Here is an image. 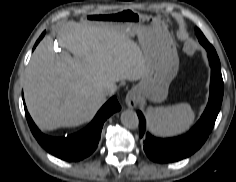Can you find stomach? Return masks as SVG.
Listing matches in <instances>:
<instances>
[{"mask_svg": "<svg viewBox=\"0 0 236 182\" xmlns=\"http://www.w3.org/2000/svg\"><path fill=\"white\" fill-rule=\"evenodd\" d=\"M89 23L103 26L114 35L123 32L129 38L138 35L139 41L146 47V71L132 91L140 100L163 102L179 68L178 53L165 23L157 17L140 14L132 9L113 15L91 14Z\"/></svg>", "mask_w": 236, "mask_h": 182, "instance_id": "0dacf381", "label": "stomach"}]
</instances>
